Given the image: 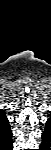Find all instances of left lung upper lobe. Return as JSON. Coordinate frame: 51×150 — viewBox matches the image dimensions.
<instances>
[{"instance_id": "1", "label": "left lung upper lobe", "mask_w": 51, "mask_h": 150, "mask_svg": "<svg viewBox=\"0 0 51 150\" xmlns=\"http://www.w3.org/2000/svg\"><path fill=\"white\" fill-rule=\"evenodd\" d=\"M50 122H51L50 120H48V121L46 122L45 131H51V124H48V123H50Z\"/></svg>"}]
</instances>
